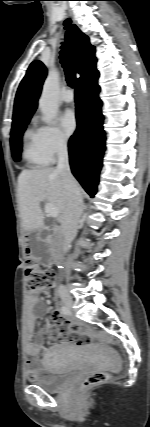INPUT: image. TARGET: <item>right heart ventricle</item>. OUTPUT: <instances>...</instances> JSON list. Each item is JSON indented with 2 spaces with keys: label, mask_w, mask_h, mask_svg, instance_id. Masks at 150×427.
I'll return each instance as SVG.
<instances>
[{
  "label": "right heart ventricle",
  "mask_w": 150,
  "mask_h": 427,
  "mask_svg": "<svg viewBox=\"0 0 150 427\" xmlns=\"http://www.w3.org/2000/svg\"><path fill=\"white\" fill-rule=\"evenodd\" d=\"M22 157L30 167H42L48 163L40 144L39 131L32 127L22 136Z\"/></svg>",
  "instance_id": "right-heart-ventricle-1"
}]
</instances>
